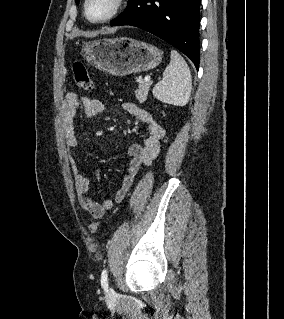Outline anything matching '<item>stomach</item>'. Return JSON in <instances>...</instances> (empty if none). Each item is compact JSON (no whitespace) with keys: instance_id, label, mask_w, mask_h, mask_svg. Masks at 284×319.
<instances>
[{"instance_id":"obj_1","label":"stomach","mask_w":284,"mask_h":319,"mask_svg":"<svg viewBox=\"0 0 284 319\" xmlns=\"http://www.w3.org/2000/svg\"><path fill=\"white\" fill-rule=\"evenodd\" d=\"M81 53L90 64L115 76L154 69L162 60L157 47L128 37L85 42Z\"/></svg>"}]
</instances>
